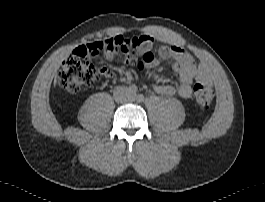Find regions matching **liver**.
<instances>
[{
  "instance_id": "obj_1",
  "label": "liver",
  "mask_w": 265,
  "mask_h": 202,
  "mask_svg": "<svg viewBox=\"0 0 265 202\" xmlns=\"http://www.w3.org/2000/svg\"><path fill=\"white\" fill-rule=\"evenodd\" d=\"M56 85V79L54 80V86Z\"/></svg>"
}]
</instances>
